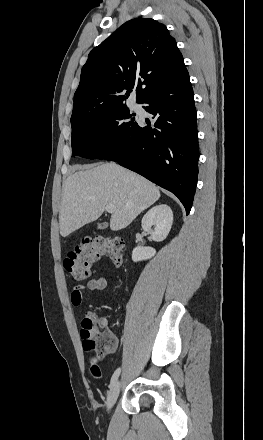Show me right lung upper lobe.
Returning <instances> with one entry per match:
<instances>
[{
	"label": "right lung upper lobe",
	"instance_id": "1",
	"mask_svg": "<svg viewBox=\"0 0 263 440\" xmlns=\"http://www.w3.org/2000/svg\"><path fill=\"white\" fill-rule=\"evenodd\" d=\"M186 70L175 39L149 18L124 23L88 56L74 94L71 122L101 109L124 105L136 87L137 102ZM127 90L123 95V91Z\"/></svg>",
	"mask_w": 263,
	"mask_h": 440
}]
</instances>
